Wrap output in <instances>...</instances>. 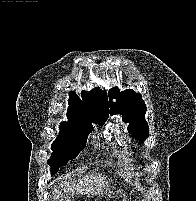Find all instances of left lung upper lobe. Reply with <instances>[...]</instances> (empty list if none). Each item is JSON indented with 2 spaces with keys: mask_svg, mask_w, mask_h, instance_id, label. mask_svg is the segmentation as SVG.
Instances as JSON below:
<instances>
[{
  "mask_svg": "<svg viewBox=\"0 0 196 201\" xmlns=\"http://www.w3.org/2000/svg\"><path fill=\"white\" fill-rule=\"evenodd\" d=\"M111 115L121 114L124 122H129L128 131L132 136L144 142L149 136V127L145 120L146 105L140 93L133 90L121 91L118 87L109 90ZM116 99V102H112Z\"/></svg>",
  "mask_w": 196,
  "mask_h": 201,
  "instance_id": "5c2ea615",
  "label": "left lung upper lobe"
}]
</instances>
